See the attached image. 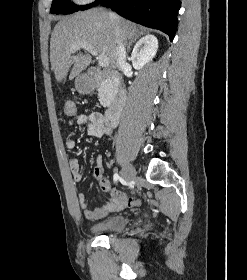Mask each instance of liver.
Masks as SVG:
<instances>
[{
    "mask_svg": "<svg viewBox=\"0 0 247 280\" xmlns=\"http://www.w3.org/2000/svg\"><path fill=\"white\" fill-rule=\"evenodd\" d=\"M121 28V34L116 35L115 27ZM140 35L135 24L118 15L111 18L103 9L93 8L78 12L60 20L54 27L50 39V62L55 78L62 82L72 67L69 78L73 79L85 70L91 63L88 53L71 51L76 44L92 45L100 55L109 58L111 68H115L118 40L126 43Z\"/></svg>",
    "mask_w": 247,
    "mask_h": 280,
    "instance_id": "liver-1",
    "label": "liver"
}]
</instances>
